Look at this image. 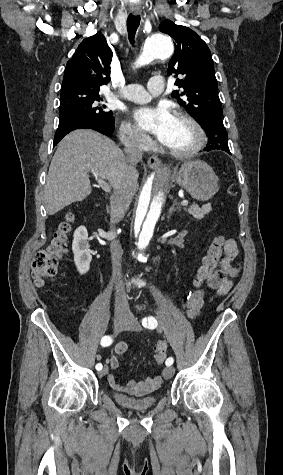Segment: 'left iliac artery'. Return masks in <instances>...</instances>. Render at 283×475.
<instances>
[{"label":"left iliac artery","mask_w":283,"mask_h":475,"mask_svg":"<svg viewBox=\"0 0 283 475\" xmlns=\"http://www.w3.org/2000/svg\"><path fill=\"white\" fill-rule=\"evenodd\" d=\"M142 325L145 328L154 329L157 326V320L153 316H149L148 318L142 319ZM173 362H174L173 358L169 357L165 363H166V366H171Z\"/></svg>","instance_id":"44dca946"}]
</instances>
